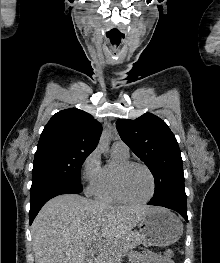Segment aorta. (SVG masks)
<instances>
[{"instance_id": "762f6f07", "label": "aorta", "mask_w": 220, "mask_h": 263, "mask_svg": "<svg viewBox=\"0 0 220 263\" xmlns=\"http://www.w3.org/2000/svg\"><path fill=\"white\" fill-rule=\"evenodd\" d=\"M100 143L102 145H108V140H107L106 136H102V138L100 140Z\"/></svg>"}]
</instances>
